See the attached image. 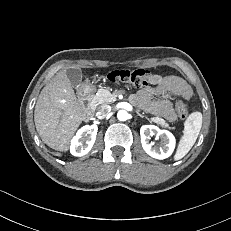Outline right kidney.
<instances>
[{
  "mask_svg": "<svg viewBox=\"0 0 231 231\" xmlns=\"http://www.w3.org/2000/svg\"><path fill=\"white\" fill-rule=\"evenodd\" d=\"M97 131V125H86L82 127L71 141V154L79 157L87 154L94 145Z\"/></svg>",
  "mask_w": 231,
  "mask_h": 231,
  "instance_id": "obj_1",
  "label": "right kidney"
}]
</instances>
